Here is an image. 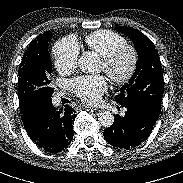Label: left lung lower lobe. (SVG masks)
<instances>
[{"label":"left lung lower lobe","mask_w":183,"mask_h":183,"mask_svg":"<svg viewBox=\"0 0 183 183\" xmlns=\"http://www.w3.org/2000/svg\"><path fill=\"white\" fill-rule=\"evenodd\" d=\"M125 116L116 115L114 123L104 130L106 141L117 148L129 149L146 140L158 117L136 105H126Z\"/></svg>","instance_id":"left-lung-lower-lobe-1"}]
</instances>
